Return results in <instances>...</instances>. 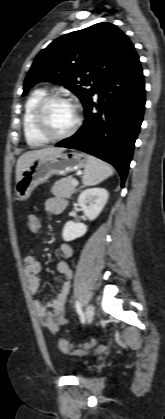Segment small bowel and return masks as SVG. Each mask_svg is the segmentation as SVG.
I'll use <instances>...</instances> for the list:
<instances>
[{
    "instance_id": "1",
    "label": "small bowel",
    "mask_w": 165,
    "mask_h": 419,
    "mask_svg": "<svg viewBox=\"0 0 165 419\" xmlns=\"http://www.w3.org/2000/svg\"><path fill=\"white\" fill-rule=\"evenodd\" d=\"M66 206L67 202L62 198H50L45 202L46 211L54 215L61 214ZM39 230L32 233H38ZM59 254L61 259L56 264V270L64 277L60 291L56 298L51 301L43 303L35 300L33 302L42 326L52 333L58 332L68 322L65 316V308L69 295L70 279L72 278V270L67 262L73 256L72 247L69 244L62 243L59 246ZM24 273L29 292L32 295L37 294L40 289L41 264L34 256L25 258Z\"/></svg>"
}]
</instances>
